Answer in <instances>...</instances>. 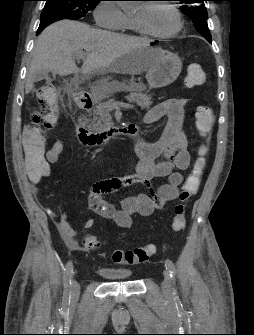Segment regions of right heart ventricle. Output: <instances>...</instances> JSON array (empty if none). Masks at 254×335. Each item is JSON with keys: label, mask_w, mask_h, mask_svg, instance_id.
<instances>
[{"label": "right heart ventricle", "mask_w": 254, "mask_h": 335, "mask_svg": "<svg viewBox=\"0 0 254 335\" xmlns=\"http://www.w3.org/2000/svg\"><path fill=\"white\" fill-rule=\"evenodd\" d=\"M124 30L130 31L133 33H141V31L139 30L138 26L136 25L134 21V18H130V17H128V21H127V24Z\"/></svg>", "instance_id": "e07e8e85"}]
</instances>
